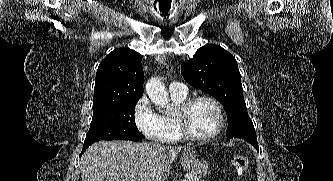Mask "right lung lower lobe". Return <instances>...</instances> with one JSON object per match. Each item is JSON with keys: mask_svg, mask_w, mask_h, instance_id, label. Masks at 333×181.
Segmentation results:
<instances>
[{"mask_svg": "<svg viewBox=\"0 0 333 181\" xmlns=\"http://www.w3.org/2000/svg\"><path fill=\"white\" fill-rule=\"evenodd\" d=\"M89 146H90V145H88V146H83L82 153H84L85 149L88 148ZM82 153H81V155H82ZM81 155H80V156H81Z\"/></svg>", "mask_w": 333, "mask_h": 181, "instance_id": "1", "label": "right lung lower lobe"}]
</instances>
